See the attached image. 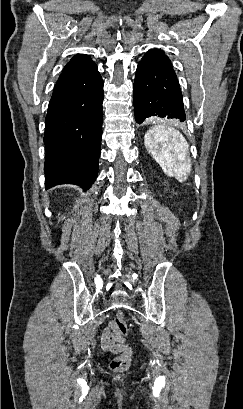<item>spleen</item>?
Segmentation results:
<instances>
[{"label":"spleen","mask_w":243,"mask_h":409,"mask_svg":"<svg viewBox=\"0 0 243 409\" xmlns=\"http://www.w3.org/2000/svg\"><path fill=\"white\" fill-rule=\"evenodd\" d=\"M144 143L165 174L179 182L188 178L191 171L189 145L178 130L164 124L155 125L146 132Z\"/></svg>","instance_id":"1"}]
</instances>
